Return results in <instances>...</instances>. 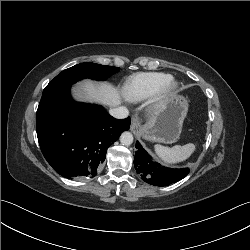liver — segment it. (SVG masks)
Segmentation results:
<instances>
[{"label": "liver", "instance_id": "obj_1", "mask_svg": "<svg viewBox=\"0 0 250 250\" xmlns=\"http://www.w3.org/2000/svg\"><path fill=\"white\" fill-rule=\"evenodd\" d=\"M76 99L90 103H100L104 106L115 107L121 103L120 91L105 82L95 83L86 80L75 91Z\"/></svg>", "mask_w": 250, "mask_h": 250}]
</instances>
